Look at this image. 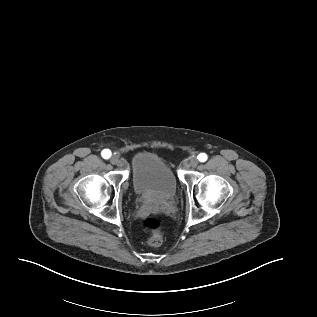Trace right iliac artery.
Wrapping results in <instances>:
<instances>
[{
	"label": "right iliac artery",
	"instance_id": "1",
	"mask_svg": "<svg viewBox=\"0 0 317 317\" xmlns=\"http://www.w3.org/2000/svg\"><path fill=\"white\" fill-rule=\"evenodd\" d=\"M101 155L104 159H108L111 157V151L109 149H104L102 152H101Z\"/></svg>",
	"mask_w": 317,
	"mask_h": 317
}]
</instances>
